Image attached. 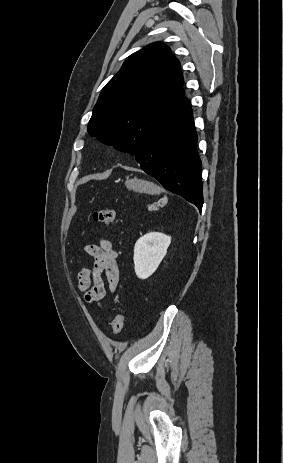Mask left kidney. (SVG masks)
Masks as SVG:
<instances>
[{
	"instance_id": "obj_1",
	"label": "left kidney",
	"mask_w": 283,
	"mask_h": 463,
	"mask_svg": "<svg viewBox=\"0 0 283 463\" xmlns=\"http://www.w3.org/2000/svg\"><path fill=\"white\" fill-rule=\"evenodd\" d=\"M170 243L171 237L160 232H150L137 240L133 260L138 278L147 279L156 271Z\"/></svg>"
}]
</instances>
